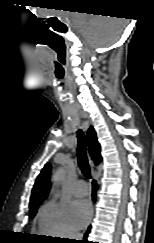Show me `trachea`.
Listing matches in <instances>:
<instances>
[{
    "mask_svg": "<svg viewBox=\"0 0 154 243\" xmlns=\"http://www.w3.org/2000/svg\"><path fill=\"white\" fill-rule=\"evenodd\" d=\"M77 138H78V146H77L78 164L83 175L87 179H90L91 172H90V167H89L87 153H86V139L81 130L77 131Z\"/></svg>",
    "mask_w": 154,
    "mask_h": 243,
    "instance_id": "obj_1",
    "label": "trachea"
}]
</instances>
